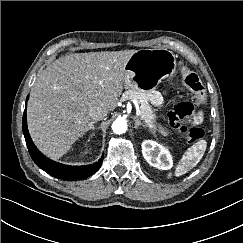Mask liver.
I'll return each mask as SVG.
<instances>
[{
	"label": "liver",
	"mask_w": 243,
	"mask_h": 243,
	"mask_svg": "<svg viewBox=\"0 0 243 243\" xmlns=\"http://www.w3.org/2000/svg\"><path fill=\"white\" fill-rule=\"evenodd\" d=\"M136 50L74 53L39 72L27 107L28 129L36 146L59 159L82 137L89 111H113L125 82V66Z\"/></svg>",
	"instance_id": "6515ba94"
}]
</instances>
